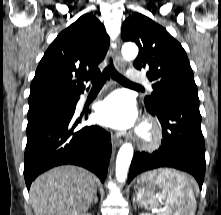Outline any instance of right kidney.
I'll list each match as a JSON object with an SVG mask.
<instances>
[{"label": "right kidney", "instance_id": "right-kidney-1", "mask_svg": "<svg viewBox=\"0 0 221 215\" xmlns=\"http://www.w3.org/2000/svg\"><path fill=\"white\" fill-rule=\"evenodd\" d=\"M83 215H91L90 213H86V214H83Z\"/></svg>", "mask_w": 221, "mask_h": 215}]
</instances>
